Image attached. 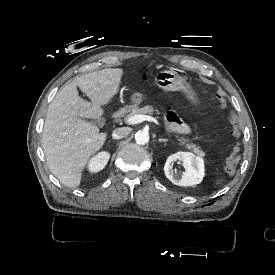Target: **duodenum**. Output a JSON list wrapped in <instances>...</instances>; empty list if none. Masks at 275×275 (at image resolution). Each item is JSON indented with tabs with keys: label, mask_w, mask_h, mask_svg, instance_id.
Wrapping results in <instances>:
<instances>
[{
	"label": "duodenum",
	"mask_w": 275,
	"mask_h": 275,
	"mask_svg": "<svg viewBox=\"0 0 275 275\" xmlns=\"http://www.w3.org/2000/svg\"><path fill=\"white\" fill-rule=\"evenodd\" d=\"M128 108H120L119 110H117L113 116L114 119H119L122 116H124L127 112Z\"/></svg>",
	"instance_id": "duodenum-1"
}]
</instances>
